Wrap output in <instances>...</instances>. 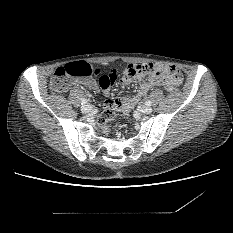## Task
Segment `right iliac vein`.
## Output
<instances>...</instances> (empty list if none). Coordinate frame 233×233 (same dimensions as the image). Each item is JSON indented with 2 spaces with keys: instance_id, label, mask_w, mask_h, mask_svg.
Instances as JSON below:
<instances>
[{
  "instance_id": "obj_1",
  "label": "right iliac vein",
  "mask_w": 233,
  "mask_h": 233,
  "mask_svg": "<svg viewBox=\"0 0 233 233\" xmlns=\"http://www.w3.org/2000/svg\"><path fill=\"white\" fill-rule=\"evenodd\" d=\"M92 106H90V105H85V106H82V108H81V111L83 112V113H89V112H91L92 111Z\"/></svg>"
}]
</instances>
